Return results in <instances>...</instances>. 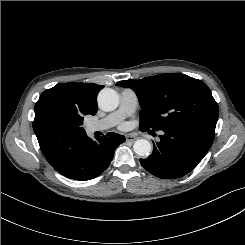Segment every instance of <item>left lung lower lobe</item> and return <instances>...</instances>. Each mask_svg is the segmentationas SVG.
<instances>
[{"label": "left lung lower lobe", "mask_w": 245, "mask_h": 245, "mask_svg": "<svg viewBox=\"0 0 245 245\" xmlns=\"http://www.w3.org/2000/svg\"><path fill=\"white\" fill-rule=\"evenodd\" d=\"M161 132L152 155L140 163L162 179L180 178L192 171L210 149L215 133L193 125L167 127Z\"/></svg>", "instance_id": "1"}]
</instances>
